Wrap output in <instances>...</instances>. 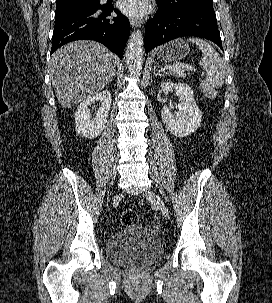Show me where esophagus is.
Segmentation results:
<instances>
[{"label":"esophagus","mask_w":272,"mask_h":303,"mask_svg":"<svg viewBox=\"0 0 272 303\" xmlns=\"http://www.w3.org/2000/svg\"><path fill=\"white\" fill-rule=\"evenodd\" d=\"M129 21H130V24L133 27H137V28L141 27L144 24V20L138 19V18H134V17H130Z\"/></svg>","instance_id":"34e87169"}]
</instances>
